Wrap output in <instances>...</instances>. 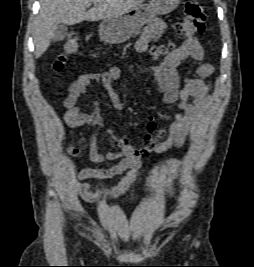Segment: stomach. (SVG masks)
<instances>
[{
	"label": "stomach",
	"instance_id": "obj_1",
	"mask_svg": "<svg viewBox=\"0 0 254 267\" xmlns=\"http://www.w3.org/2000/svg\"><path fill=\"white\" fill-rule=\"evenodd\" d=\"M180 0H151L148 4L138 5L130 11L105 19L99 26V36L106 43H122L144 24L157 15H164L175 10Z\"/></svg>",
	"mask_w": 254,
	"mask_h": 267
}]
</instances>
